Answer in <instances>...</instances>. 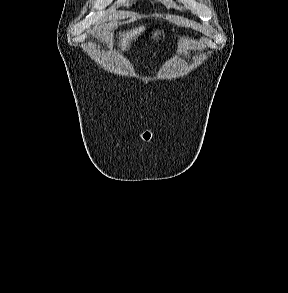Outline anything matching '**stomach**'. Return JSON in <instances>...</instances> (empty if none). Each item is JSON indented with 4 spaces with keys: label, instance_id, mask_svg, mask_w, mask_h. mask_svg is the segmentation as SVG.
Returning a JSON list of instances; mask_svg holds the SVG:
<instances>
[{
    "label": "stomach",
    "instance_id": "1",
    "mask_svg": "<svg viewBox=\"0 0 288 293\" xmlns=\"http://www.w3.org/2000/svg\"><path fill=\"white\" fill-rule=\"evenodd\" d=\"M160 35H161V31L156 30V31L152 32V37L151 38L152 39H158Z\"/></svg>",
    "mask_w": 288,
    "mask_h": 293
}]
</instances>
